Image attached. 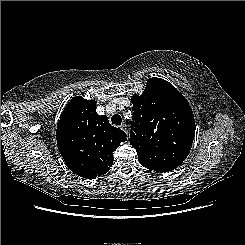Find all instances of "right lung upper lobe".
<instances>
[{"mask_svg":"<svg viewBox=\"0 0 245 245\" xmlns=\"http://www.w3.org/2000/svg\"><path fill=\"white\" fill-rule=\"evenodd\" d=\"M96 101L76 96L66 105L57 124V146L73 173L94 179L110 170L113 152L127 135L96 113Z\"/></svg>","mask_w":245,"mask_h":245,"instance_id":"cb5924a9","label":"right lung upper lobe"}]
</instances>
